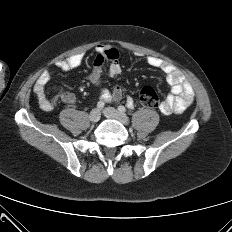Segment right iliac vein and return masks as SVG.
<instances>
[{"instance_id":"right-iliac-vein-1","label":"right iliac vein","mask_w":232,"mask_h":232,"mask_svg":"<svg viewBox=\"0 0 232 232\" xmlns=\"http://www.w3.org/2000/svg\"><path fill=\"white\" fill-rule=\"evenodd\" d=\"M100 117H101V113L98 109H93L90 112L89 119L91 122H93V123L98 122L100 120Z\"/></svg>"}]
</instances>
